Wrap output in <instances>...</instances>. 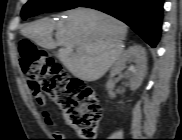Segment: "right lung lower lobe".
<instances>
[{
    "instance_id": "right-lung-lower-lobe-1",
    "label": "right lung lower lobe",
    "mask_w": 182,
    "mask_h": 140,
    "mask_svg": "<svg viewBox=\"0 0 182 140\" xmlns=\"http://www.w3.org/2000/svg\"><path fill=\"white\" fill-rule=\"evenodd\" d=\"M163 0H86L79 7L100 10L130 26L151 47L160 40Z\"/></svg>"
}]
</instances>
